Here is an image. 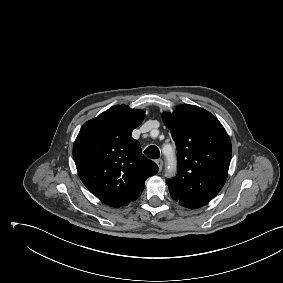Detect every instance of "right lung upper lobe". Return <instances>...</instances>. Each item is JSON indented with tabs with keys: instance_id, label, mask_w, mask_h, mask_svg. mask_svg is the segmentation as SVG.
<instances>
[{
	"instance_id": "cb5924a9",
	"label": "right lung upper lobe",
	"mask_w": 283,
	"mask_h": 283,
	"mask_svg": "<svg viewBox=\"0 0 283 283\" xmlns=\"http://www.w3.org/2000/svg\"><path fill=\"white\" fill-rule=\"evenodd\" d=\"M144 117L141 110L113 106L86 122L74 142L73 157L80 179L111 207L127 206L138 199L145 180L159 170L131 137Z\"/></svg>"
}]
</instances>
